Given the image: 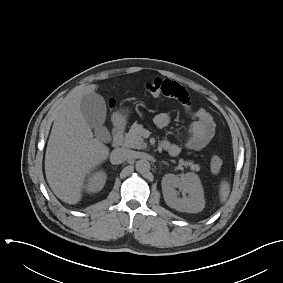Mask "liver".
<instances>
[{
    "mask_svg": "<svg viewBox=\"0 0 283 283\" xmlns=\"http://www.w3.org/2000/svg\"><path fill=\"white\" fill-rule=\"evenodd\" d=\"M97 87L85 86L64 100L47 143V182L53 193L68 204L80 201L86 176L109 156V148L94 138L80 109L83 96L94 93Z\"/></svg>",
    "mask_w": 283,
    "mask_h": 283,
    "instance_id": "liver-1",
    "label": "liver"
}]
</instances>
